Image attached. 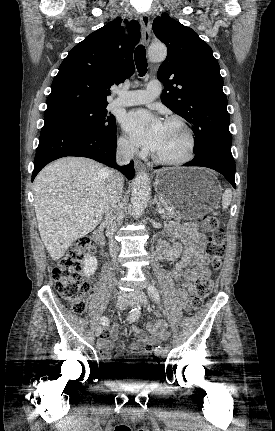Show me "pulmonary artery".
I'll return each instance as SVG.
<instances>
[{
    "label": "pulmonary artery",
    "instance_id": "1",
    "mask_svg": "<svg viewBox=\"0 0 275 431\" xmlns=\"http://www.w3.org/2000/svg\"><path fill=\"white\" fill-rule=\"evenodd\" d=\"M161 92L160 82L152 80L145 90H134L129 92H118V98L113 102L114 106H133L147 104L155 100Z\"/></svg>",
    "mask_w": 275,
    "mask_h": 431
}]
</instances>
